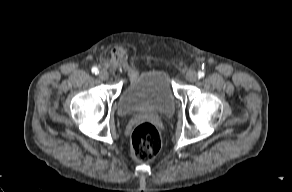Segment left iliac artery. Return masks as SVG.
Instances as JSON below:
<instances>
[{
  "instance_id": "obj_1",
  "label": "left iliac artery",
  "mask_w": 292,
  "mask_h": 192,
  "mask_svg": "<svg viewBox=\"0 0 292 192\" xmlns=\"http://www.w3.org/2000/svg\"><path fill=\"white\" fill-rule=\"evenodd\" d=\"M205 76V73L203 71L198 72V78H203Z\"/></svg>"
}]
</instances>
